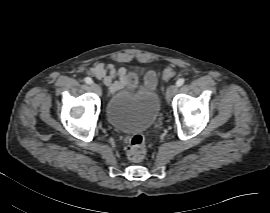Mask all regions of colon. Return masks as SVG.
Returning <instances> with one entry per match:
<instances>
[{"mask_svg": "<svg viewBox=\"0 0 270 213\" xmlns=\"http://www.w3.org/2000/svg\"><path fill=\"white\" fill-rule=\"evenodd\" d=\"M173 66H167L162 73L164 81H168L174 75ZM127 158L132 162H139L146 156V144L145 135L143 133H137L131 136L127 149Z\"/></svg>", "mask_w": 270, "mask_h": 213, "instance_id": "5ec220e1", "label": "colon"}]
</instances>
